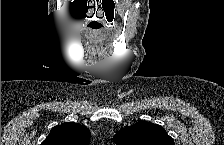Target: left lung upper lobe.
Instances as JSON below:
<instances>
[{"mask_svg": "<svg viewBox=\"0 0 224 145\" xmlns=\"http://www.w3.org/2000/svg\"><path fill=\"white\" fill-rule=\"evenodd\" d=\"M114 138L117 145H175L162 126L146 121L119 131Z\"/></svg>", "mask_w": 224, "mask_h": 145, "instance_id": "5c2ea615", "label": "left lung upper lobe"}]
</instances>
